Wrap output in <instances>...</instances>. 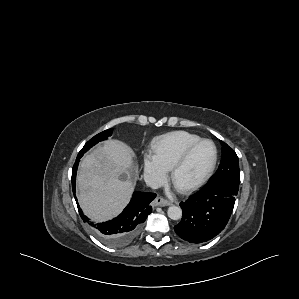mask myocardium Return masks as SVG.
<instances>
[{"mask_svg": "<svg viewBox=\"0 0 299 299\" xmlns=\"http://www.w3.org/2000/svg\"><path fill=\"white\" fill-rule=\"evenodd\" d=\"M204 143H209L213 146L214 148V159L213 162L209 168V170L206 172V174L201 177L199 180L189 184V185H185V186H180L177 183V175L178 173L181 171V169L187 164L188 160L190 159L191 155L193 154V152L202 144ZM218 149L217 146L215 145V143L212 140L209 139H201L200 141L194 143L193 145H191L184 153L183 155L179 158V160L175 163V165L172 167L171 169V174H170V178H171V182L173 183V185L180 191L183 193H189L192 192L198 188H200L201 186H203L213 175L216 166H217V162H218Z\"/></svg>", "mask_w": 299, "mask_h": 299, "instance_id": "1", "label": "myocardium"}]
</instances>
